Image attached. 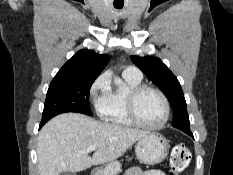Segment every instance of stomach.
<instances>
[{"label":"stomach","instance_id":"obj_1","mask_svg":"<svg viewBox=\"0 0 233 175\" xmlns=\"http://www.w3.org/2000/svg\"><path fill=\"white\" fill-rule=\"evenodd\" d=\"M169 151L168 140L159 133L149 132L140 138L135 145L137 158L144 164L155 165L165 160ZM121 164L114 160L105 166L93 170L92 175H118Z\"/></svg>","mask_w":233,"mask_h":175}]
</instances>
